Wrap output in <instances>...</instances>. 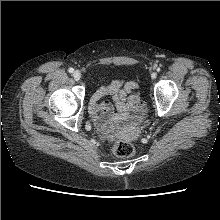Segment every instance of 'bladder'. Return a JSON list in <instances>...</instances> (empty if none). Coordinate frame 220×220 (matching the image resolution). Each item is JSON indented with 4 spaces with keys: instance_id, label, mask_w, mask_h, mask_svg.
<instances>
[{
    "instance_id": "bladder-1",
    "label": "bladder",
    "mask_w": 220,
    "mask_h": 220,
    "mask_svg": "<svg viewBox=\"0 0 220 220\" xmlns=\"http://www.w3.org/2000/svg\"><path fill=\"white\" fill-rule=\"evenodd\" d=\"M144 113H145V112L143 111V112H142V115H144Z\"/></svg>"
}]
</instances>
